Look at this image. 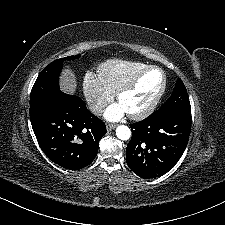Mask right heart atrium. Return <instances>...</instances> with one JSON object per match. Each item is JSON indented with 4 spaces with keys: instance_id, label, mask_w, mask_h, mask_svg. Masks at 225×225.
Here are the masks:
<instances>
[{
    "instance_id": "obj_1",
    "label": "right heart atrium",
    "mask_w": 225,
    "mask_h": 225,
    "mask_svg": "<svg viewBox=\"0 0 225 225\" xmlns=\"http://www.w3.org/2000/svg\"><path fill=\"white\" fill-rule=\"evenodd\" d=\"M83 91L94 112H100L105 104L113 99V93L101 78L91 72L86 73L83 78Z\"/></svg>"
}]
</instances>
